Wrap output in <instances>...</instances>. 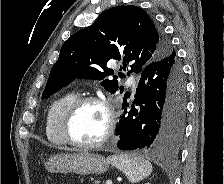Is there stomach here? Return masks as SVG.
Wrapping results in <instances>:
<instances>
[{"instance_id":"stomach-1","label":"stomach","mask_w":224,"mask_h":184,"mask_svg":"<svg viewBox=\"0 0 224 184\" xmlns=\"http://www.w3.org/2000/svg\"><path fill=\"white\" fill-rule=\"evenodd\" d=\"M44 165L51 173L79 175L102 174L109 167L108 161L103 156L88 152L54 155Z\"/></svg>"}]
</instances>
